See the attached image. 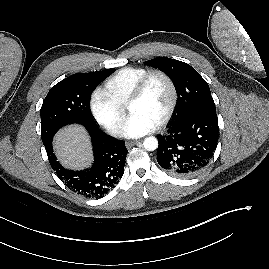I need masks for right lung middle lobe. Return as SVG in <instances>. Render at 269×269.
I'll return each instance as SVG.
<instances>
[{"label":"right lung middle lobe","instance_id":"obj_1","mask_svg":"<svg viewBox=\"0 0 269 269\" xmlns=\"http://www.w3.org/2000/svg\"><path fill=\"white\" fill-rule=\"evenodd\" d=\"M114 68L84 74H74L57 83L48 92L41 107V137L50 141L63 126L79 123L98 127L89 110L91 92Z\"/></svg>","mask_w":269,"mask_h":269}]
</instances>
